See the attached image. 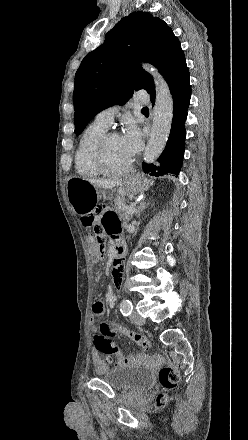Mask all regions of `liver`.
<instances>
[{"instance_id": "1", "label": "liver", "mask_w": 248, "mask_h": 440, "mask_svg": "<svg viewBox=\"0 0 248 440\" xmlns=\"http://www.w3.org/2000/svg\"><path fill=\"white\" fill-rule=\"evenodd\" d=\"M88 181L95 187L103 189H111L122 182L120 179H90Z\"/></svg>"}]
</instances>
